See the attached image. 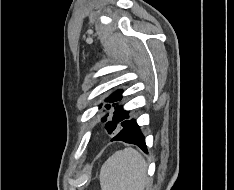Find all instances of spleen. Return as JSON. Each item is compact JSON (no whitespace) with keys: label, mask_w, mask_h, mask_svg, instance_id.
Here are the masks:
<instances>
[{"label":"spleen","mask_w":234,"mask_h":190,"mask_svg":"<svg viewBox=\"0 0 234 190\" xmlns=\"http://www.w3.org/2000/svg\"><path fill=\"white\" fill-rule=\"evenodd\" d=\"M147 164L141 154L126 148L114 153L102 166L100 185L102 190H144Z\"/></svg>","instance_id":"3e777b00"}]
</instances>
